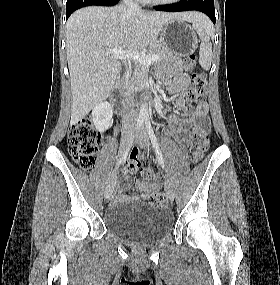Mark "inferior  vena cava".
<instances>
[{
    "label": "inferior vena cava",
    "instance_id": "602c4592",
    "mask_svg": "<svg viewBox=\"0 0 280 285\" xmlns=\"http://www.w3.org/2000/svg\"><path fill=\"white\" fill-rule=\"evenodd\" d=\"M126 7L132 10H139V6L134 3L133 0H123ZM138 113L135 109V101L133 96H129L125 99L124 113L122 116V124L124 126L131 124L134 125L137 121Z\"/></svg>",
    "mask_w": 280,
    "mask_h": 285
}]
</instances>
